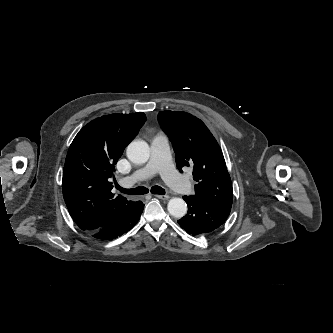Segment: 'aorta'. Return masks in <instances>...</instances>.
Wrapping results in <instances>:
<instances>
[{
  "instance_id": "762f6f07",
  "label": "aorta",
  "mask_w": 333,
  "mask_h": 333,
  "mask_svg": "<svg viewBox=\"0 0 333 333\" xmlns=\"http://www.w3.org/2000/svg\"><path fill=\"white\" fill-rule=\"evenodd\" d=\"M127 157L135 164H144L150 156V149L145 141H132L126 151ZM168 212L174 217H183L187 213V204L181 198H172L168 202Z\"/></svg>"
}]
</instances>
